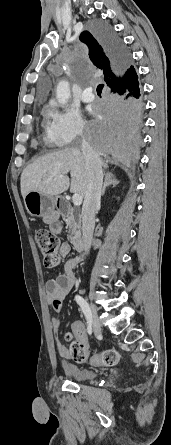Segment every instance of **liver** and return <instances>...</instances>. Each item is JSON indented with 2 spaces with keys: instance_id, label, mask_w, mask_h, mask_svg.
<instances>
[{
  "instance_id": "6515ba94",
  "label": "liver",
  "mask_w": 171,
  "mask_h": 445,
  "mask_svg": "<svg viewBox=\"0 0 171 445\" xmlns=\"http://www.w3.org/2000/svg\"><path fill=\"white\" fill-rule=\"evenodd\" d=\"M102 165L107 168V165ZM69 172L71 181L65 176ZM20 185L23 198L31 191L56 197L69 187L72 193L85 197L88 171L84 155L78 148H66L44 155L23 170Z\"/></svg>"
}]
</instances>
